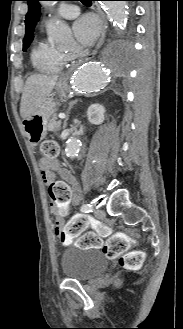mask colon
I'll list each match as a JSON object with an SVG mask.
<instances>
[{"mask_svg": "<svg viewBox=\"0 0 183 329\" xmlns=\"http://www.w3.org/2000/svg\"><path fill=\"white\" fill-rule=\"evenodd\" d=\"M40 153L44 159H55L59 154V146L53 140H46L40 145ZM90 224L86 217L77 216L64 226L61 237L65 240L78 238L77 243L82 248H102L107 258H118L120 265L126 269L138 268L143 263L145 252L140 250L128 252L130 239L127 236L111 234V230L100 223L94 224L96 232L84 233ZM102 237L106 238L105 242Z\"/></svg>", "mask_w": 183, "mask_h": 329, "instance_id": "colon-1", "label": "colon"}]
</instances>
